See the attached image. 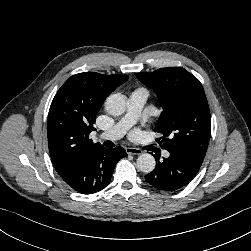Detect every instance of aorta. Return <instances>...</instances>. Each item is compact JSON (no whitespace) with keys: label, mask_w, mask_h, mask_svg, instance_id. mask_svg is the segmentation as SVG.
<instances>
[{"label":"aorta","mask_w":251,"mask_h":251,"mask_svg":"<svg viewBox=\"0 0 251 251\" xmlns=\"http://www.w3.org/2000/svg\"><path fill=\"white\" fill-rule=\"evenodd\" d=\"M126 97L122 94L110 95L105 101V108L112 116H119L126 110ZM155 158L148 153H143L137 158V168L143 173H150L155 169Z\"/></svg>","instance_id":"1"}]
</instances>
